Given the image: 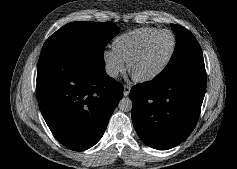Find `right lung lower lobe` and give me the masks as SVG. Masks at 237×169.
<instances>
[{
    "label": "right lung lower lobe",
    "instance_id": "1",
    "mask_svg": "<svg viewBox=\"0 0 237 169\" xmlns=\"http://www.w3.org/2000/svg\"><path fill=\"white\" fill-rule=\"evenodd\" d=\"M103 57L43 54L37 68V99L55 138L75 151L102 137L123 87L105 72Z\"/></svg>",
    "mask_w": 237,
    "mask_h": 169
}]
</instances>
